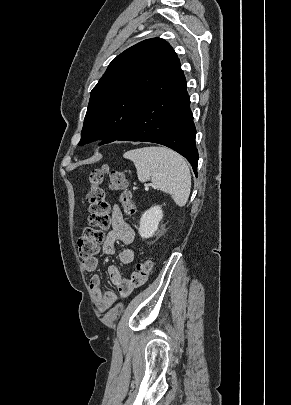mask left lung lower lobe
I'll use <instances>...</instances> for the list:
<instances>
[{
  "label": "left lung lower lobe",
  "mask_w": 291,
  "mask_h": 405,
  "mask_svg": "<svg viewBox=\"0 0 291 405\" xmlns=\"http://www.w3.org/2000/svg\"><path fill=\"white\" fill-rule=\"evenodd\" d=\"M195 134L186 79L177 58L146 93L130 127L118 140L167 146L184 156L197 175Z\"/></svg>",
  "instance_id": "obj_1"
}]
</instances>
